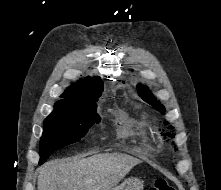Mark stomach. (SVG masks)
Masks as SVG:
<instances>
[{
	"label": "stomach",
	"mask_w": 221,
	"mask_h": 190,
	"mask_svg": "<svg viewBox=\"0 0 221 190\" xmlns=\"http://www.w3.org/2000/svg\"><path fill=\"white\" fill-rule=\"evenodd\" d=\"M143 187V181L132 177L124 180L120 185L116 186L112 190H143Z\"/></svg>",
	"instance_id": "stomach-1"
}]
</instances>
